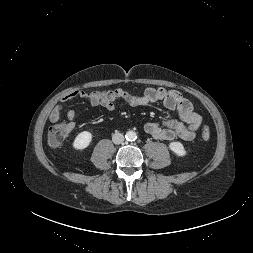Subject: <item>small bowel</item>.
I'll return each instance as SVG.
<instances>
[{
    "label": "small bowel",
    "mask_w": 253,
    "mask_h": 253,
    "mask_svg": "<svg viewBox=\"0 0 253 253\" xmlns=\"http://www.w3.org/2000/svg\"><path fill=\"white\" fill-rule=\"evenodd\" d=\"M75 98L86 99L91 106L102 107L110 112L114 110L116 100H123L132 107L162 103L168 110L176 111L180 120L169 118L162 122L149 121L143 125V130L156 139L166 141H191L195 138L202 123V117L193 110L191 102L181 92L163 87H149L142 94H131L120 88L90 92L77 89L61 98L50 113V121L52 123L58 122L67 102ZM74 117L75 111L68 110L67 118L72 128L74 127Z\"/></svg>",
    "instance_id": "obj_1"
}]
</instances>
